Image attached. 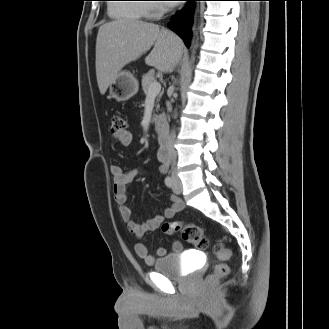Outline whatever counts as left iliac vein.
I'll return each mask as SVG.
<instances>
[{
	"label": "left iliac vein",
	"instance_id": "obj_1",
	"mask_svg": "<svg viewBox=\"0 0 329 329\" xmlns=\"http://www.w3.org/2000/svg\"><path fill=\"white\" fill-rule=\"evenodd\" d=\"M172 190L175 194H180L182 192V185L179 179H174Z\"/></svg>",
	"mask_w": 329,
	"mask_h": 329
}]
</instances>
